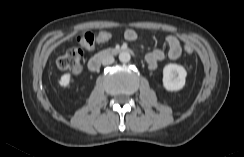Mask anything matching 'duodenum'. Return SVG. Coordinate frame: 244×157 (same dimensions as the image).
<instances>
[{"label":"duodenum","instance_id":"duodenum-1","mask_svg":"<svg viewBox=\"0 0 244 157\" xmlns=\"http://www.w3.org/2000/svg\"><path fill=\"white\" fill-rule=\"evenodd\" d=\"M126 51H128V50L125 48H121V47L103 50L90 58V60L88 61V69L90 71L94 72L100 67L102 61L105 58L114 56V55H118V54L126 52Z\"/></svg>","mask_w":244,"mask_h":157}]
</instances>
